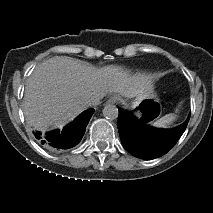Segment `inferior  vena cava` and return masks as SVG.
Returning <instances> with one entry per match:
<instances>
[{
    "label": "inferior vena cava",
    "instance_id": "obj_1",
    "mask_svg": "<svg viewBox=\"0 0 213 213\" xmlns=\"http://www.w3.org/2000/svg\"><path fill=\"white\" fill-rule=\"evenodd\" d=\"M103 95L92 96L90 99L86 101L88 106H97L100 104V100L103 98Z\"/></svg>",
    "mask_w": 213,
    "mask_h": 213
}]
</instances>
